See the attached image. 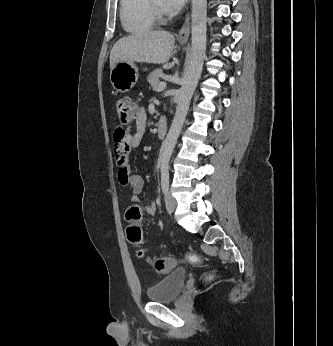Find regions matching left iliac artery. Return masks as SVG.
<instances>
[{"label": "left iliac artery", "instance_id": "44dca946", "mask_svg": "<svg viewBox=\"0 0 333 346\" xmlns=\"http://www.w3.org/2000/svg\"><path fill=\"white\" fill-rule=\"evenodd\" d=\"M161 185L163 193L166 194L169 189V170L168 168L161 169Z\"/></svg>", "mask_w": 333, "mask_h": 346}]
</instances>
